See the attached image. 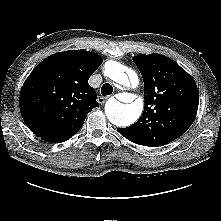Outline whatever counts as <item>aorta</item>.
<instances>
[{
	"mask_svg": "<svg viewBox=\"0 0 221 221\" xmlns=\"http://www.w3.org/2000/svg\"><path fill=\"white\" fill-rule=\"evenodd\" d=\"M125 71L126 67L116 61H108L105 65V75L114 82L128 88L131 84L130 81L137 83L138 76L132 70L129 71L128 75ZM127 103L129 104H123L116 99H109L106 102L105 114L111 123L119 127L129 126L140 117L143 110V101L130 99Z\"/></svg>",
	"mask_w": 221,
	"mask_h": 221,
	"instance_id": "aorta-1",
	"label": "aorta"
}]
</instances>
